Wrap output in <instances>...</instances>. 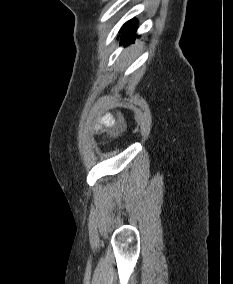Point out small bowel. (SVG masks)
I'll return each mask as SVG.
<instances>
[{"mask_svg":"<svg viewBox=\"0 0 233 284\" xmlns=\"http://www.w3.org/2000/svg\"><path fill=\"white\" fill-rule=\"evenodd\" d=\"M104 124H105L106 126H108V127H111V126L114 125V121H113L112 118L106 117V118L104 119Z\"/></svg>","mask_w":233,"mask_h":284,"instance_id":"small-bowel-1","label":"small bowel"}]
</instances>
